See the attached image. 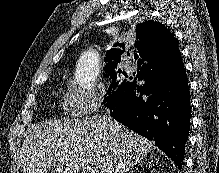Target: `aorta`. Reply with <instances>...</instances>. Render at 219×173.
I'll return each mask as SVG.
<instances>
[{
  "label": "aorta",
  "mask_w": 219,
  "mask_h": 173,
  "mask_svg": "<svg viewBox=\"0 0 219 173\" xmlns=\"http://www.w3.org/2000/svg\"><path fill=\"white\" fill-rule=\"evenodd\" d=\"M99 71V55L93 50H88L80 57L78 64V82L80 86L90 90Z\"/></svg>",
  "instance_id": "obj_1"
}]
</instances>
